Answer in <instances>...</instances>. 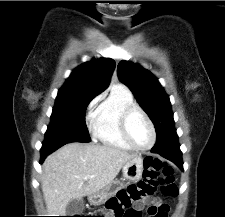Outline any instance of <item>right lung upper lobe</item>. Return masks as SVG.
Returning a JSON list of instances; mask_svg holds the SVG:
<instances>
[{"label":"right lung upper lobe","mask_w":225,"mask_h":217,"mask_svg":"<svg viewBox=\"0 0 225 217\" xmlns=\"http://www.w3.org/2000/svg\"><path fill=\"white\" fill-rule=\"evenodd\" d=\"M115 61L107 58L93 59L73 70L58 91L59 96H97L109 85Z\"/></svg>","instance_id":"obj_1"}]
</instances>
